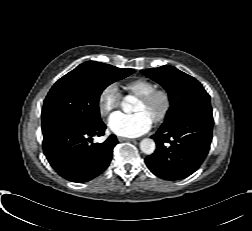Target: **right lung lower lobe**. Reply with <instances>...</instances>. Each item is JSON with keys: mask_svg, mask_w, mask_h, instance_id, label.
Listing matches in <instances>:
<instances>
[{"mask_svg": "<svg viewBox=\"0 0 252 231\" xmlns=\"http://www.w3.org/2000/svg\"><path fill=\"white\" fill-rule=\"evenodd\" d=\"M106 125L85 126L63 123L43 133L44 154L53 169L72 182H86L101 174L110 164L118 143L110 135L103 143H92V136L104 135Z\"/></svg>", "mask_w": 252, "mask_h": 231, "instance_id": "right-lung-lower-lobe-1", "label": "right lung lower lobe"}]
</instances>
